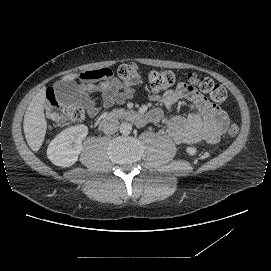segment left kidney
I'll return each instance as SVG.
<instances>
[{
	"instance_id": "5707ae66",
	"label": "left kidney",
	"mask_w": 271,
	"mask_h": 271,
	"mask_svg": "<svg viewBox=\"0 0 271 271\" xmlns=\"http://www.w3.org/2000/svg\"><path fill=\"white\" fill-rule=\"evenodd\" d=\"M189 153H194V149H189Z\"/></svg>"
}]
</instances>
